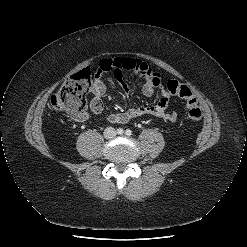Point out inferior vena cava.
I'll return each instance as SVG.
<instances>
[{"label":"inferior vena cava","mask_w":247,"mask_h":247,"mask_svg":"<svg viewBox=\"0 0 247 247\" xmlns=\"http://www.w3.org/2000/svg\"><path fill=\"white\" fill-rule=\"evenodd\" d=\"M116 136V130L113 127H107L104 130V137L105 138H114Z\"/></svg>","instance_id":"602c4592"}]
</instances>
